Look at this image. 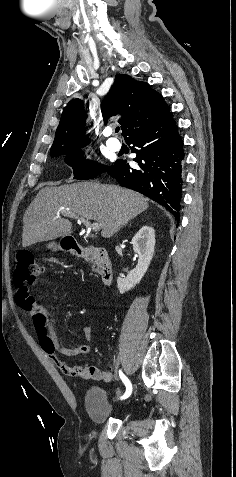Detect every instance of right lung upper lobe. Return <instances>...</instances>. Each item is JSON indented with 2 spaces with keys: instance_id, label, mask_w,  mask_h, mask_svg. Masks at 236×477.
Wrapping results in <instances>:
<instances>
[{
  "instance_id": "right-lung-upper-lobe-1",
  "label": "right lung upper lobe",
  "mask_w": 236,
  "mask_h": 477,
  "mask_svg": "<svg viewBox=\"0 0 236 477\" xmlns=\"http://www.w3.org/2000/svg\"><path fill=\"white\" fill-rule=\"evenodd\" d=\"M101 110L105 117L122 115L119 123L125 140L138 130L156 125L170 113L161 95L147 83L122 74L115 76V83L104 98ZM85 117L83 101H70L63 110L50 152L73 151L87 145Z\"/></svg>"
}]
</instances>
